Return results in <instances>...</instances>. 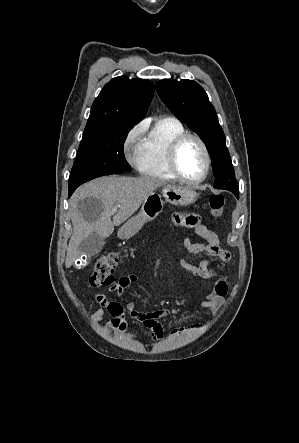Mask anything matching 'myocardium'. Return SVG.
<instances>
[{
    "instance_id": "myocardium-1",
    "label": "myocardium",
    "mask_w": 299,
    "mask_h": 443,
    "mask_svg": "<svg viewBox=\"0 0 299 443\" xmlns=\"http://www.w3.org/2000/svg\"><path fill=\"white\" fill-rule=\"evenodd\" d=\"M189 139H194L199 143V145L201 146V149L203 151L204 159H205L204 172L200 177L195 178V179H190V178L186 177L181 172V170L179 168V164H178L179 149L184 144V142H186ZM168 165H169L171 172L174 174V176L184 183L195 185V184H199V183L203 182L207 178V176L210 172V168H211V156H210L209 149H208L205 141L199 135L194 134V133L185 132V133L179 135L178 137H176L172 141V143L169 146Z\"/></svg>"
}]
</instances>
